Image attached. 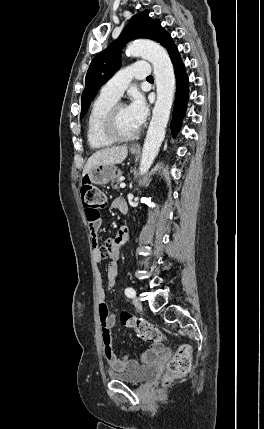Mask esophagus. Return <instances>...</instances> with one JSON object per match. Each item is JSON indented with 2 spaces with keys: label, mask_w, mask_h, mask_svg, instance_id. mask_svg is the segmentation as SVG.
Returning a JSON list of instances; mask_svg holds the SVG:
<instances>
[{
  "label": "esophagus",
  "mask_w": 264,
  "mask_h": 429,
  "mask_svg": "<svg viewBox=\"0 0 264 429\" xmlns=\"http://www.w3.org/2000/svg\"><path fill=\"white\" fill-rule=\"evenodd\" d=\"M131 149H140V145L139 144H133L131 146Z\"/></svg>",
  "instance_id": "obj_1"
}]
</instances>
